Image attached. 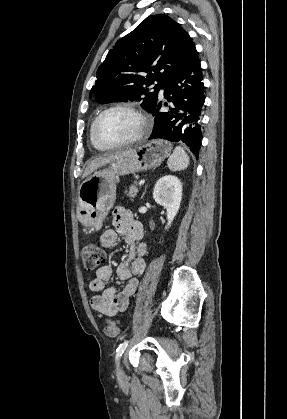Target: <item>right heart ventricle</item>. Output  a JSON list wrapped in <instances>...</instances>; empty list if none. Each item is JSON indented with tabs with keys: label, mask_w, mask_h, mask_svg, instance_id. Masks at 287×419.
Masks as SVG:
<instances>
[{
	"label": "right heart ventricle",
	"mask_w": 287,
	"mask_h": 419,
	"mask_svg": "<svg viewBox=\"0 0 287 419\" xmlns=\"http://www.w3.org/2000/svg\"><path fill=\"white\" fill-rule=\"evenodd\" d=\"M92 124H93V122H92ZM92 124H91V126H90V130H89V138H90V142H91L92 146H93L94 148L98 149V150H101V151L107 150L106 148H104V147L100 146L99 144H97V143L95 142V140H94V138H93V136H92V131H91Z\"/></svg>",
	"instance_id": "e07e8e85"
}]
</instances>
